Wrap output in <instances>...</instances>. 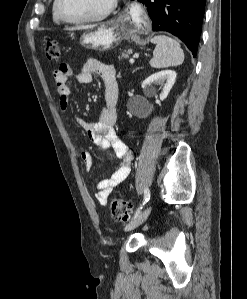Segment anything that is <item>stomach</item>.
Here are the masks:
<instances>
[{
  "mask_svg": "<svg viewBox=\"0 0 247 299\" xmlns=\"http://www.w3.org/2000/svg\"><path fill=\"white\" fill-rule=\"evenodd\" d=\"M125 31L119 21L94 25L80 38V45L87 49L110 50L124 39Z\"/></svg>",
  "mask_w": 247,
  "mask_h": 299,
  "instance_id": "0dacf381",
  "label": "stomach"
}]
</instances>
